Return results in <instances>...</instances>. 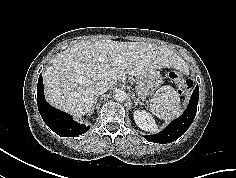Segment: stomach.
<instances>
[{"instance_id": "1", "label": "stomach", "mask_w": 236, "mask_h": 178, "mask_svg": "<svg viewBox=\"0 0 236 178\" xmlns=\"http://www.w3.org/2000/svg\"><path fill=\"white\" fill-rule=\"evenodd\" d=\"M162 84V76L158 71H151L139 76L136 80V94L139 98L151 95Z\"/></svg>"}]
</instances>
